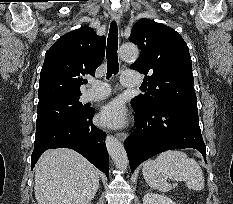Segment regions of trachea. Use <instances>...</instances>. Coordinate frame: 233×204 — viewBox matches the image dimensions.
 Instances as JSON below:
<instances>
[{
    "mask_svg": "<svg viewBox=\"0 0 233 204\" xmlns=\"http://www.w3.org/2000/svg\"><path fill=\"white\" fill-rule=\"evenodd\" d=\"M118 27L115 21L110 25L108 40H107V78H110L113 74H117L119 70L118 56Z\"/></svg>",
    "mask_w": 233,
    "mask_h": 204,
    "instance_id": "3493384b",
    "label": "trachea"
}]
</instances>
